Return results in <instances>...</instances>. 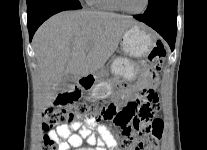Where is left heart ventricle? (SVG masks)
<instances>
[{"label":"left heart ventricle","instance_id":"b2bd125f","mask_svg":"<svg viewBox=\"0 0 207 150\" xmlns=\"http://www.w3.org/2000/svg\"><path fill=\"white\" fill-rule=\"evenodd\" d=\"M122 3L128 10L136 11L144 6L145 0H122Z\"/></svg>","mask_w":207,"mask_h":150}]
</instances>
